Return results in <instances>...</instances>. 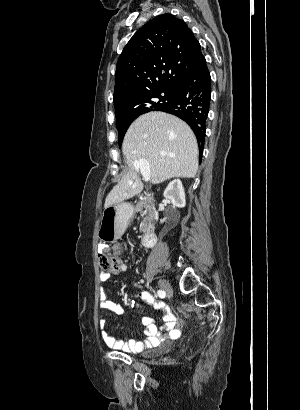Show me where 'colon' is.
<instances>
[{
    "instance_id": "colon-1",
    "label": "colon",
    "mask_w": 300,
    "mask_h": 410,
    "mask_svg": "<svg viewBox=\"0 0 300 410\" xmlns=\"http://www.w3.org/2000/svg\"><path fill=\"white\" fill-rule=\"evenodd\" d=\"M98 260L102 273H121L126 269L125 260L113 254L100 253Z\"/></svg>"
}]
</instances>
